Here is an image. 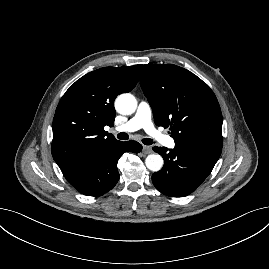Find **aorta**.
<instances>
[{
  "instance_id": "obj_1",
  "label": "aorta",
  "mask_w": 269,
  "mask_h": 269,
  "mask_svg": "<svg viewBox=\"0 0 269 269\" xmlns=\"http://www.w3.org/2000/svg\"><path fill=\"white\" fill-rule=\"evenodd\" d=\"M115 108L122 115H131L137 108V101L133 95L124 93L116 98ZM145 164L149 170L157 172L163 167L164 161L159 154H150L146 157Z\"/></svg>"
}]
</instances>
